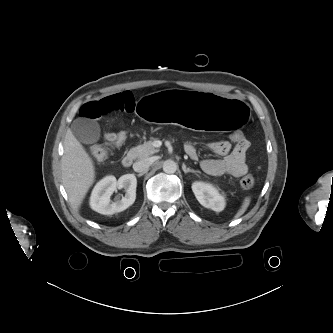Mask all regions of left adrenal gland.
Instances as JSON below:
<instances>
[{"label": "left adrenal gland", "mask_w": 333, "mask_h": 333, "mask_svg": "<svg viewBox=\"0 0 333 333\" xmlns=\"http://www.w3.org/2000/svg\"><path fill=\"white\" fill-rule=\"evenodd\" d=\"M182 169H183V171H184L185 174L188 173V172H191V173H200V171H195L193 169L186 168L185 165H183Z\"/></svg>", "instance_id": "a2214340"}]
</instances>
